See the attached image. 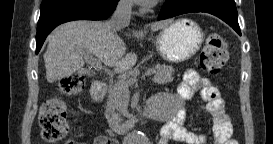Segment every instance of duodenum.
<instances>
[{
  "label": "duodenum",
  "mask_w": 273,
  "mask_h": 144,
  "mask_svg": "<svg viewBox=\"0 0 273 144\" xmlns=\"http://www.w3.org/2000/svg\"><path fill=\"white\" fill-rule=\"evenodd\" d=\"M105 90V85L102 82L96 81L92 85V95L94 97H101L105 93ZM168 106L169 100L166 94H156L148 100L135 118L123 122L120 125V129L122 132H126L143 119L165 120V110Z\"/></svg>",
  "instance_id": "410a0bca"
}]
</instances>
